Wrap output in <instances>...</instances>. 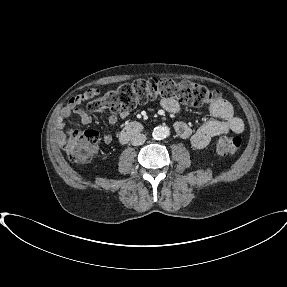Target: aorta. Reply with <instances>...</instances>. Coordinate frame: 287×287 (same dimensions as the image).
<instances>
[{
  "instance_id": "obj_1",
  "label": "aorta",
  "mask_w": 287,
  "mask_h": 287,
  "mask_svg": "<svg viewBox=\"0 0 287 287\" xmlns=\"http://www.w3.org/2000/svg\"><path fill=\"white\" fill-rule=\"evenodd\" d=\"M169 128L166 126H157L153 129L152 136L156 140H162L169 135Z\"/></svg>"
}]
</instances>
